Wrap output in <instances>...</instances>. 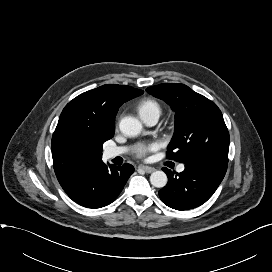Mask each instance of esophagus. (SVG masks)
Segmentation results:
<instances>
[{
    "instance_id": "obj_1",
    "label": "esophagus",
    "mask_w": 272,
    "mask_h": 272,
    "mask_svg": "<svg viewBox=\"0 0 272 272\" xmlns=\"http://www.w3.org/2000/svg\"><path fill=\"white\" fill-rule=\"evenodd\" d=\"M139 169H142L143 171H145L146 173H151L153 171H155L154 167H150V166H145V165H140Z\"/></svg>"
}]
</instances>
